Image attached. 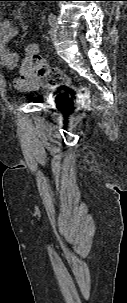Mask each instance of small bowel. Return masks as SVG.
Here are the masks:
<instances>
[{"label": "small bowel", "instance_id": "1", "mask_svg": "<svg viewBox=\"0 0 127 303\" xmlns=\"http://www.w3.org/2000/svg\"><path fill=\"white\" fill-rule=\"evenodd\" d=\"M17 27L8 20H0V65L7 69H14L18 65L17 52L8 48L10 41L17 35ZM39 46L32 44L26 50V57L20 67V74L14 80V85L22 91L36 90L42 85V79L35 73L30 63V54L38 52Z\"/></svg>", "mask_w": 127, "mask_h": 303}]
</instances>
